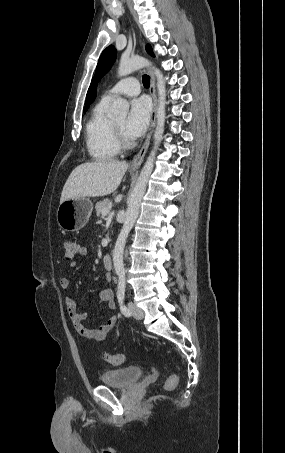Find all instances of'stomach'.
I'll return each instance as SVG.
<instances>
[{"mask_svg": "<svg viewBox=\"0 0 285 453\" xmlns=\"http://www.w3.org/2000/svg\"><path fill=\"white\" fill-rule=\"evenodd\" d=\"M93 204L86 197L65 200L57 209L58 225L65 231H78L88 222Z\"/></svg>", "mask_w": 285, "mask_h": 453, "instance_id": "stomach-1", "label": "stomach"}]
</instances>
